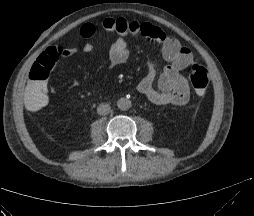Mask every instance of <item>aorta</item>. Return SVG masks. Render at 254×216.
<instances>
[{
	"instance_id": "1",
	"label": "aorta",
	"mask_w": 254,
	"mask_h": 216,
	"mask_svg": "<svg viewBox=\"0 0 254 216\" xmlns=\"http://www.w3.org/2000/svg\"><path fill=\"white\" fill-rule=\"evenodd\" d=\"M117 106L120 110H128L129 108H131L132 106V103L129 99L127 98H120L118 101H117Z\"/></svg>"
}]
</instances>
